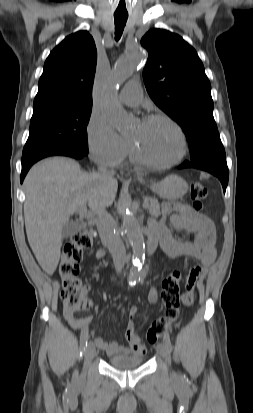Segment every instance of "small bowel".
I'll list each match as a JSON object with an SVG mask.
<instances>
[{"mask_svg": "<svg viewBox=\"0 0 253 413\" xmlns=\"http://www.w3.org/2000/svg\"><path fill=\"white\" fill-rule=\"evenodd\" d=\"M163 218L160 221L154 218L149 221L150 232L157 235L160 240L163 251L171 258L191 257L199 261V265L186 273L180 289L182 297L180 302L184 309H191L194 303L195 282L203 272L210 266L216 258L217 251L215 245V229L211 220L204 214L197 212L190 205L181 202H168L162 208ZM180 231H186L195 235L194 241H181L176 239L169 228V225ZM103 256L98 251L96 257L100 259ZM148 299L151 303L158 301L156 288L149 292ZM136 314V308H132L129 314V322L126 328L125 336L128 346H123L117 342H106L101 337L94 338L95 345L106 352L108 356L120 354L144 355L146 346L140 337L134 331L133 318ZM64 317L69 325L79 331L81 334L88 333L91 316L78 317L75 313L64 311Z\"/></svg>", "mask_w": 253, "mask_h": 413, "instance_id": "small-bowel-1", "label": "small bowel"}]
</instances>
